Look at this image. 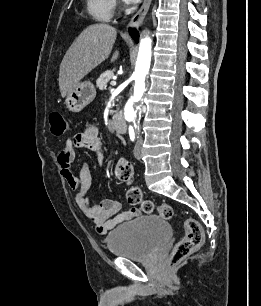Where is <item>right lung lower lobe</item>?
I'll return each instance as SVG.
<instances>
[{
  "label": "right lung lower lobe",
  "mask_w": 261,
  "mask_h": 306,
  "mask_svg": "<svg viewBox=\"0 0 261 306\" xmlns=\"http://www.w3.org/2000/svg\"><path fill=\"white\" fill-rule=\"evenodd\" d=\"M129 32H130V35L132 36V38H133L136 42H138V40H139V34L137 33V31H136L135 29H130Z\"/></svg>",
  "instance_id": "1"
}]
</instances>
